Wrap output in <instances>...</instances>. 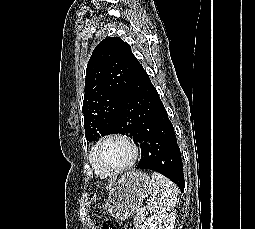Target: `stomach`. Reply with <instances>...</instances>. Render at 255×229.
<instances>
[{
    "label": "stomach",
    "instance_id": "0dacf381",
    "mask_svg": "<svg viewBox=\"0 0 255 229\" xmlns=\"http://www.w3.org/2000/svg\"><path fill=\"white\" fill-rule=\"evenodd\" d=\"M152 191V181L143 171L125 173L110 190L105 209L117 220L124 221L141 207Z\"/></svg>",
    "mask_w": 255,
    "mask_h": 229
}]
</instances>
